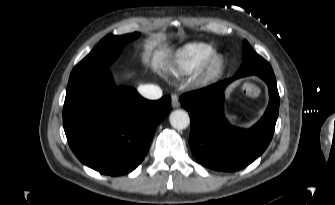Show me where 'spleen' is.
<instances>
[{"instance_id":"obj_1","label":"spleen","mask_w":335,"mask_h":205,"mask_svg":"<svg viewBox=\"0 0 335 205\" xmlns=\"http://www.w3.org/2000/svg\"><path fill=\"white\" fill-rule=\"evenodd\" d=\"M229 118H230L232 121L237 120V117H236V116H230Z\"/></svg>"}]
</instances>
